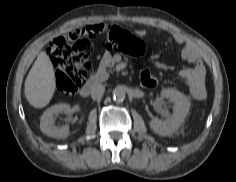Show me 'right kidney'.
Instances as JSON below:
<instances>
[{
  "label": "right kidney",
  "instance_id": "obj_1",
  "mask_svg": "<svg viewBox=\"0 0 236 182\" xmlns=\"http://www.w3.org/2000/svg\"><path fill=\"white\" fill-rule=\"evenodd\" d=\"M71 107L68 104H56L48 108L40 118V130L47 136L53 138H65L70 134L69 126L63 125L61 127L54 125V116L60 114H70Z\"/></svg>",
  "mask_w": 236,
  "mask_h": 182
}]
</instances>
